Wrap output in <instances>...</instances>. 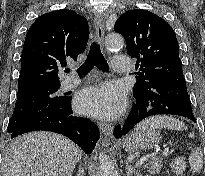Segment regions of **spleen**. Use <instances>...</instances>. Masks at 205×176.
<instances>
[{
  "instance_id": "obj_1",
  "label": "spleen",
  "mask_w": 205,
  "mask_h": 176,
  "mask_svg": "<svg viewBox=\"0 0 205 176\" xmlns=\"http://www.w3.org/2000/svg\"><path fill=\"white\" fill-rule=\"evenodd\" d=\"M145 128H165L178 131L187 129L186 125L180 120L171 116L163 115L147 118L136 126V129ZM189 137L194 138L195 134L191 133ZM189 164L193 173L200 172V170L203 168V154L200 149L192 151V153L189 155Z\"/></svg>"
}]
</instances>
